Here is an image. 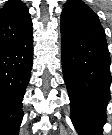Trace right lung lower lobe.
<instances>
[{
    "label": "right lung lower lobe",
    "instance_id": "1",
    "mask_svg": "<svg viewBox=\"0 0 112 135\" xmlns=\"http://www.w3.org/2000/svg\"><path fill=\"white\" fill-rule=\"evenodd\" d=\"M33 31L0 50V135H18L22 100L30 80Z\"/></svg>",
    "mask_w": 112,
    "mask_h": 135
}]
</instances>
